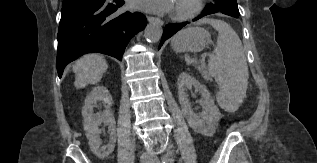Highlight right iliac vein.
<instances>
[{
  "label": "right iliac vein",
  "instance_id": "63e3f726",
  "mask_svg": "<svg viewBox=\"0 0 317 163\" xmlns=\"http://www.w3.org/2000/svg\"><path fill=\"white\" fill-rule=\"evenodd\" d=\"M141 163H150V161L147 160V159H142V160H141Z\"/></svg>",
  "mask_w": 317,
  "mask_h": 163
}]
</instances>
